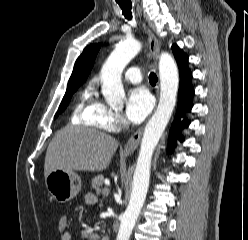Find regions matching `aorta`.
Listing matches in <instances>:
<instances>
[{"instance_id": "762f6f07", "label": "aorta", "mask_w": 248, "mask_h": 240, "mask_svg": "<svg viewBox=\"0 0 248 240\" xmlns=\"http://www.w3.org/2000/svg\"><path fill=\"white\" fill-rule=\"evenodd\" d=\"M142 45L137 40L120 43L110 54L101 69L102 94L113 107L123 105L125 92L121 74L125 66L140 52ZM160 100L158 107L147 123L141 141L140 152L133 176L129 205L124 212L116 240H129L146 199L152 155L173 113L179 75L174 59L162 53L159 59Z\"/></svg>"}]
</instances>
